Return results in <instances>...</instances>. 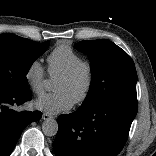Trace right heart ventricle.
<instances>
[{
    "label": "right heart ventricle",
    "instance_id": "e07e8e85",
    "mask_svg": "<svg viewBox=\"0 0 156 156\" xmlns=\"http://www.w3.org/2000/svg\"><path fill=\"white\" fill-rule=\"evenodd\" d=\"M81 61V56L70 46L60 44L48 55V73L52 77H58Z\"/></svg>",
    "mask_w": 156,
    "mask_h": 156
}]
</instances>
